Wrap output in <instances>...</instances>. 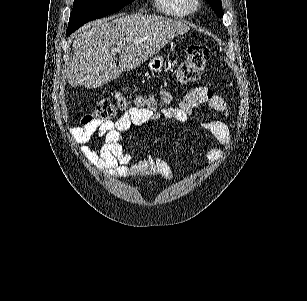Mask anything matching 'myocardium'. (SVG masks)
Returning <instances> with one entry per match:
<instances>
[{
    "label": "myocardium",
    "mask_w": 307,
    "mask_h": 301,
    "mask_svg": "<svg viewBox=\"0 0 307 301\" xmlns=\"http://www.w3.org/2000/svg\"><path fill=\"white\" fill-rule=\"evenodd\" d=\"M187 2L191 5V7L186 8L188 14L196 15L198 12H201V7H199L200 2L198 0L196 2H194L193 0H187ZM194 5L196 6L193 7Z\"/></svg>",
    "instance_id": "obj_1"
}]
</instances>
